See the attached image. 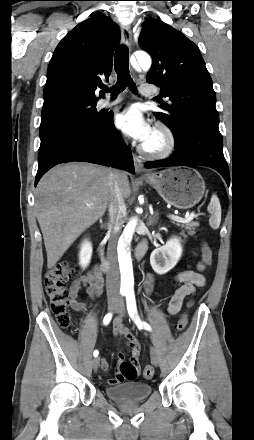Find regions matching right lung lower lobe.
Listing matches in <instances>:
<instances>
[{"label":"right lung lower lobe","mask_w":254,"mask_h":440,"mask_svg":"<svg viewBox=\"0 0 254 440\" xmlns=\"http://www.w3.org/2000/svg\"><path fill=\"white\" fill-rule=\"evenodd\" d=\"M71 161L134 171L131 150L121 140L110 114L100 116L95 129L62 134L39 151L35 186L50 168Z\"/></svg>","instance_id":"right-lung-lower-lobe-1"}]
</instances>
